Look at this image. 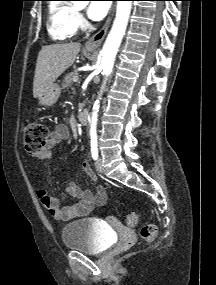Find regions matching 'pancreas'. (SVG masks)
<instances>
[{"mask_svg":"<svg viewBox=\"0 0 216 285\" xmlns=\"http://www.w3.org/2000/svg\"><path fill=\"white\" fill-rule=\"evenodd\" d=\"M77 77L76 72H69L64 76L63 82H62V87L63 88H68L73 84V78Z\"/></svg>","mask_w":216,"mask_h":285,"instance_id":"cf45deb5","label":"pancreas"}]
</instances>
